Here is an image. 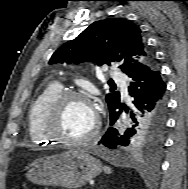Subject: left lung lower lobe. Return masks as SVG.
<instances>
[{"mask_svg": "<svg viewBox=\"0 0 188 189\" xmlns=\"http://www.w3.org/2000/svg\"><path fill=\"white\" fill-rule=\"evenodd\" d=\"M128 76L129 95L132 97L131 107L119 104L110 110V125L119 123L124 109L130 116L128 123H121L117 128L110 127L99 144L110 149L128 147L132 134L139 126L158 127L165 125L167 113L166 83L155 60L133 69Z\"/></svg>", "mask_w": 188, "mask_h": 189, "instance_id": "left-lung-lower-lobe-1", "label": "left lung lower lobe"}]
</instances>
